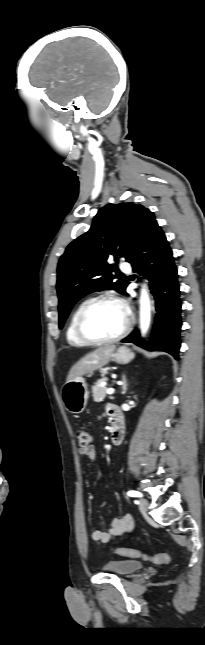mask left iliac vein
Segmentation results:
<instances>
[{
	"label": "left iliac vein",
	"mask_w": 205,
	"mask_h": 645,
	"mask_svg": "<svg viewBox=\"0 0 205 645\" xmlns=\"http://www.w3.org/2000/svg\"><path fill=\"white\" fill-rule=\"evenodd\" d=\"M149 503L145 498H140L139 499V510L142 513H146L148 510Z\"/></svg>",
	"instance_id": "obj_1"
}]
</instances>
